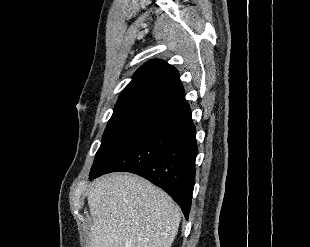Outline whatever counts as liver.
Here are the masks:
<instances>
[{
	"instance_id": "6515ba94",
	"label": "liver",
	"mask_w": 310,
	"mask_h": 247,
	"mask_svg": "<svg viewBox=\"0 0 310 247\" xmlns=\"http://www.w3.org/2000/svg\"><path fill=\"white\" fill-rule=\"evenodd\" d=\"M88 205L90 247H171L181 220L166 192L133 174L97 179Z\"/></svg>"
}]
</instances>
